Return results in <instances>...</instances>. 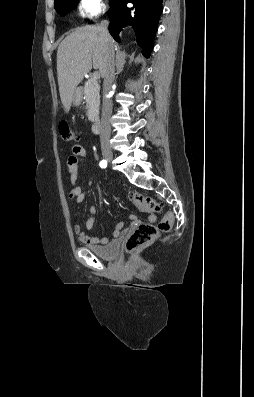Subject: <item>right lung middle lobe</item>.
<instances>
[{
  "mask_svg": "<svg viewBox=\"0 0 254 397\" xmlns=\"http://www.w3.org/2000/svg\"><path fill=\"white\" fill-rule=\"evenodd\" d=\"M79 0H56L54 8L61 15L64 16L70 9H74ZM112 0H110L111 2Z\"/></svg>",
  "mask_w": 254,
  "mask_h": 397,
  "instance_id": "1",
  "label": "right lung middle lobe"
}]
</instances>
